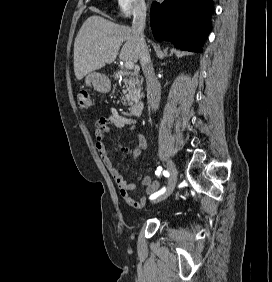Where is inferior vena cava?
I'll use <instances>...</instances> for the list:
<instances>
[{
    "label": "inferior vena cava",
    "mask_w": 272,
    "mask_h": 282,
    "mask_svg": "<svg viewBox=\"0 0 272 282\" xmlns=\"http://www.w3.org/2000/svg\"><path fill=\"white\" fill-rule=\"evenodd\" d=\"M146 5L144 1L136 4L132 22V31L139 43V59L147 83V100L149 107L156 111L161 98V86L155 76L150 54L144 37L146 23Z\"/></svg>",
    "instance_id": "1"
}]
</instances>
